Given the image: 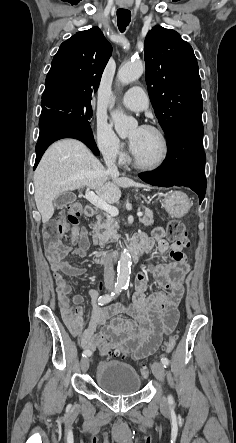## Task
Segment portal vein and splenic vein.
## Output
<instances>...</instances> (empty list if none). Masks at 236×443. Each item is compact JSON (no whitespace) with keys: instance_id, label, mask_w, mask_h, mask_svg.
Masks as SVG:
<instances>
[{"instance_id":"obj_1","label":"portal vein and splenic vein","mask_w":236,"mask_h":443,"mask_svg":"<svg viewBox=\"0 0 236 443\" xmlns=\"http://www.w3.org/2000/svg\"><path fill=\"white\" fill-rule=\"evenodd\" d=\"M85 198L95 207L107 212L111 216H117L119 214V211L116 207L111 206L110 204L99 198L97 195H95L93 191L90 190V188L86 189ZM142 215L143 214L141 212L137 213L138 217H142Z\"/></svg>"}]
</instances>
